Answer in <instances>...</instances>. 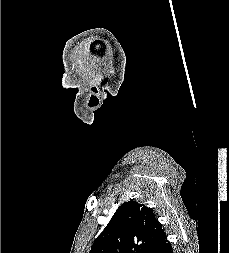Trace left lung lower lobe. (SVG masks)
Masks as SVG:
<instances>
[{
	"label": "left lung lower lobe",
	"instance_id": "obj_1",
	"mask_svg": "<svg viewBox=\"0 0 229 253\" xmlns=\"http://www.w3.org/2000/svg\"><path fill=\"white\" fill-rule=\"evenodd\" d=\"M154 253H173L171 243L165 237Z\"/></svg>",
	"mask_w": 229,
	"mask_h": 253
}]
</instances>
